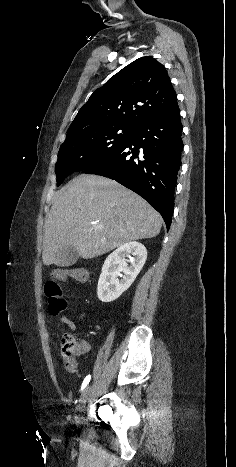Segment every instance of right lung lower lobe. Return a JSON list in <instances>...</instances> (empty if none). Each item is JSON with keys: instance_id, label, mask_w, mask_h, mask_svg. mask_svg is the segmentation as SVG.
I'll use <instances>...</instances> for the list:
<instances>
[{"instance_id": "right-lung-lower-lobe-1", "label": "right lung lower lobe", "mask_w": 236, "mask_h": 467, "mask_svg": "<svg viewBox=\"0 0 236 467\" xmlns=\"http://www.w3.org/2000/svg\"><path fill=\"white\" fill-rule=\"evenodd\" d=\"M182 129L176 103L134 128L118 150L83 172L116 180L136 192L162 215L169 229L184 146Z\"/></svg>"}]
</instances>
